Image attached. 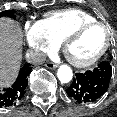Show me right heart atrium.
Masks as SVG:
<instances>
[{
    "instance_id": "1",
    "label": "right heart atrium",
    "mask_w": 117,
    "mask_h": 117,
    "mask_svg": "<svg viewBox=\"0 0 117 117\" xmlns=\"http://www.w3.org/2000/svg\"><path fill=\"white\" fill-rule=\"evenodd\" d=\"M24 40L28 48V56L33 61H40L45 53L53 51L59 43L48 32L42 21L25 23Z\"/></svg>"
}]
</instances>
